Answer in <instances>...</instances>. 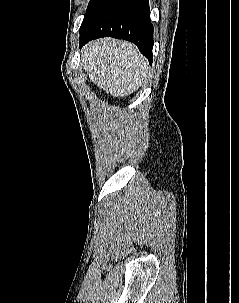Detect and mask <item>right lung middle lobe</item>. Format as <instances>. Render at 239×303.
<instances>
[{"label": "right lung middle lobe", "instance_id": "1", "mask_svg": "<svg viewBox=\"0 0 239 303\" xmlns=\"http://www.w3.org/2000/svg\"><path fill=\"white\" fill-rule=\"evenodd\" d=\"M107 1L108 0H90V2L88 4V7H87L85 17H84V20H83L82 25L80 27V31L83 30L84 28H86L91 23V21L93 20L95 15L105 5V3Z\"/></svg>", "mask_w": 239, "mask_h": 303}]
</instances>
